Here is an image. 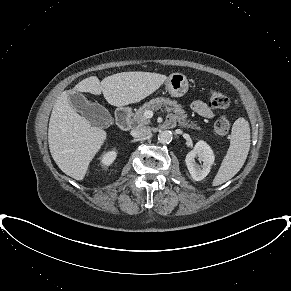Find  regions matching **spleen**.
I'll return each instance as SVG.
<instances>
[{
    "instance_id": "spleen-1",
    "label": "spleen",
    "mask_w": 291,
    "mask_h": 291,
    "mask_svg": "<svg viewBox=\"0 0 291 291\" xmlns=\"http://www.w3.org/2000/svg\"><path fill=\"white\" fill-rule=\"evenodd\" d=\"M230 146L212 182L221 185L234 177L245 163L250 149V127L245 118H238L229 136Z\"/></svg>"
}]
</instances>
